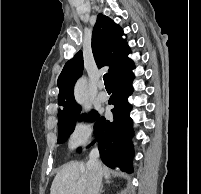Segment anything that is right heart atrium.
<instances>
[{"label":"right heart atrium","mask_w":201,"mask_h":194,"mask_svg":"<svg viewBox=\"0 0 201 194\" xmlns=\"http://www.w3.org/2000/svg\"><path fill=\"white\" fill-rule=\"evenodd\" d=\"M94 136V128L89 116L84 115L77 119L69 137L68 145L70 148H78L89 143Z\"/></svg>","instance_id":"right-heart-atrium-1"}]
</instances>
